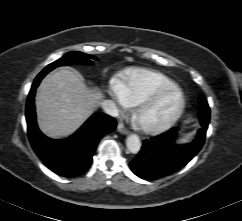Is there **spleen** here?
<instances>
[{"label": "spleen", "mask_w": 242, "mask_h": 221, "mask_svg": "<svg viewBox=\"0 0 242 221\" xmlns=\"http://www.w3.org/2000/svg\"><path fill=\"white\" fill-rule=\"evenodd\" d=\"M191 134L186 135L183 139H181L179 142H186L190 138Z\"/></svg>", "instance_id": "obj_1"}]
</instances>
